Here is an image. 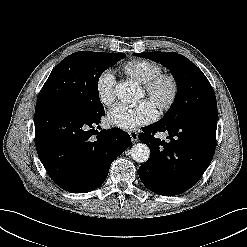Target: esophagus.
Wrapping results in <instances>:
<instances>
[{
	"mask_svg": "<svg viewBox=\"0 0 247 247\" xmlns=\"http://www.w3.org/2000/svg\"><path fill=\"white\" fill-rule=\"evenodd\" d=\"M129 135H130V137H131L132 143H136V142L138 141V133H137L136 131L131 130V131L129 132Z\"/></svg>",
	"mask_w": 247,
	"mask_h": 247,
	"instance_id": "obj_1",
	"label": "esophagus"
}]
</instances>
